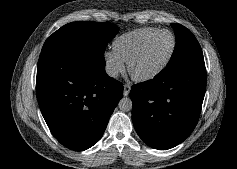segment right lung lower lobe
<instances>
[{"instance_id":"1","label":"right lung lower lobe","mask_w":237,"mask_h":169,"mask_svg":"<svg viewBox=\"0 0 237 169\" xmlns=\"http://www.w3.org/2000/svg\"><path fill=\"white\" fill-rule=\"evenodd\" d=\"M104 67V55L40 54L38 103L54 137L69 149L82 151L97 143L122 98V83Z\"/></svg>"}]
</instances>
